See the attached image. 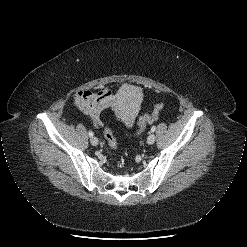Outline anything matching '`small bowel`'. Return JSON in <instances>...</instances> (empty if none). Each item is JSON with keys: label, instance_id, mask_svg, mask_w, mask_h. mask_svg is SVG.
<instances>
[{"label": "small bowel", "instance_id": "1", "mask_svg": "<svg viewBox=\"0 0 247 247\" xmlns=\"http://www.w3.org/2000/svg\"><path fill=\"white\" fill-rule=\"evenodd\" d=\"M113 93L108 88L80 91L74 95V104L94 123L100 124L101 111L113 102Z\"/></svg>", "mask_w": 247, "mask_h": 247}]
</instances>
